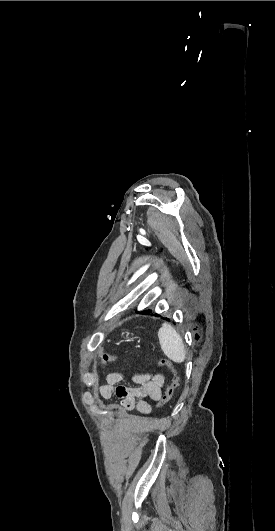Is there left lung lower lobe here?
Here are the masks:
<instances>
[{"instance_id": "1", "label": "left lung lower lobe", "mask_w": 275, "mask_h": 531, "mask_svg": "<svg viewBox=\"0 0 275 531\" xmlns=\"http://www.w3.org/2000/svg\"><path fill=\"white\" fill-rule=\"evenodd\" d=\"M141 313H142V314H149L150 311H149V310H148V311H143V312H141ZM155 315L158 316L157 314H155ZM164 319H165V318H164ZM167 320H168V319H167Z\"/></svg>"}]
</instances>
